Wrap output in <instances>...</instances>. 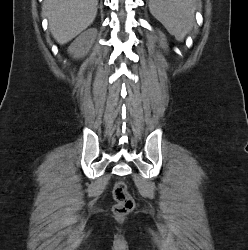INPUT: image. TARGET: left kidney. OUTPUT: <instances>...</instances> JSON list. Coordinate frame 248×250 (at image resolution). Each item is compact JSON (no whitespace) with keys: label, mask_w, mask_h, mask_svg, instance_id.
I'll return each instance as SVG.
<instances>
[{"label":"left kidney","mask_w":248,"mask_h":250,"mask_svg":"<svg viewBox=\"0 0 248 250\" xmlns=\"http://www.w3.org/2000/svg\"><path fill=\"white\" fill-rule=\"evenodd\" d=\"M159 35H160V46L163 48V49H166L167 48V45H166V39H165V36L164 34H162L161 32H159Z\"/></svg>","instance_id":"obj_1"}]
</instances>
